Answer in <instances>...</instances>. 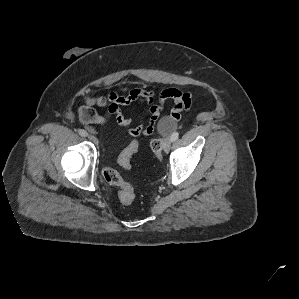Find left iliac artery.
Listing matches in <instances>:
<instances>
[{"mask_svg":"<svg viewBox=\"0 0 299 299\" xmlns=\"http://www.w3.org/2000/svg\"><path fill=\"white\" fill-rule=\"evenodd\" d=\"M178 137H179V133H178V132H174V133L171 135V140H172V141H175V140L178 139Z\"/></svg>","mask_w":299,"mask_h":299,"instance_id":"left-iliac-artery-1","label":"left iliac artery"}]
</instances>
